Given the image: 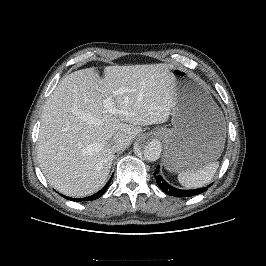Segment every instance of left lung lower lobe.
<instances>
[{
	"instance_id": "left-lung-lower-lobe-1",
	"label": "left lung lower lobe",
	"mask_w": 266,
	"mask_h": 266,
	"mask_svg": "<svg viewBox=\"0 0 266 266\" xmlns=\"http://www.w3.org/2000/svg\"><path fill=\"white\" fill-rule=\"evenodd\" d=\"M154 175L161 190L171 196L190 197V196L203 193L208 189V187H203V188L194 189V190H181V189L174 188L171 185H169L159 174V167L156 168Z\"/></svg>"
}]
</instances>
